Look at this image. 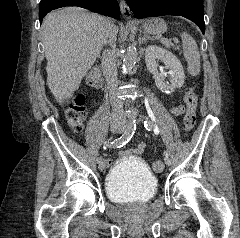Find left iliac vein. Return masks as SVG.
<instances>
[{
	"instance_id": "obj_1",
	"label": "left iliac vein",
	"mask_w": 240,
	"mask_h": 238,
	"mask_svg": "<svg viewBox=\"0 0 240 238\" xmlns=\"http://www.w3.org/2000/svg\"><path fill=\"white\" fill-rule=\"evenodd\" d=\"M164 161H165V164L168 165V166L171 164V160H170L169 157L165 156Z\"/></svg>"
}]
</instances>
